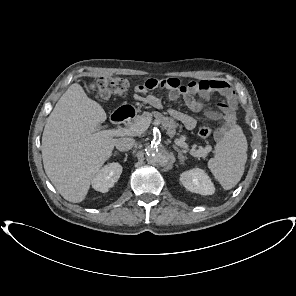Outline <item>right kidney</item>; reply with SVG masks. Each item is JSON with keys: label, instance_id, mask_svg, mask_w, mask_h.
<instances>
[{"label": "right kidney", "instance_id": "ca27d5eb", "mask_svg": "<svg viewBox=\"0 0 296 296\" xmlns=\"http://www.w3.org/2000/svg\"><path fill=\"white\" fill-rule=\"evenodd\" d=\"M122 173L119 163H109L102 167L92 180V187L99 192L106 193L118 181Z\"/></svg>", "mask_w": 296, "mask_h": 296}]
</instances>
